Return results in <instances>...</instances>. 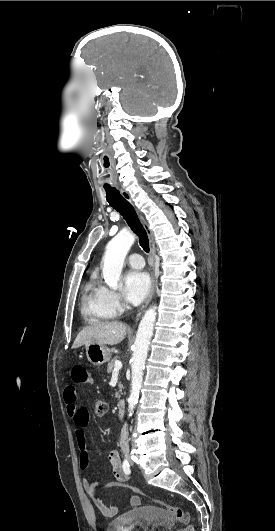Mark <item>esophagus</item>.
I'll list each match as a JSON object with an SVG mask.
<instances>
[{
  "mask_svg": "<svg viewBox=\"0 0 275 531\" xmlns=\"http://www.w3.org/2000/svg\"><path fill=\"white\" fill-rule=\"evenodd\" d=\"M121 194H122V196H124V198L130 200V196L128 195V193L126 191L121 190ZM140 219H141V222L143 224V227L145 228V231H146L148 239H149L150 269H151L150 285H151V289H150V293L147 296L146 300L144 301V303L142 304L141 308L137 312V315H136V318H135L136 322L139 321V319L141 318L143 312L145 311L146 307L148 306L149 302L151 301L152 296H153V292H154V286H155V253H156V248H155L154 236H153V232L151 231L148 223L145 221L143 216L140 215Z\"/></svg>",
  "mask_w": 275,
  "mask_h": 531,
  "instance_id": "obj_1",
  "label": "esophagus"
}]
</instances>
